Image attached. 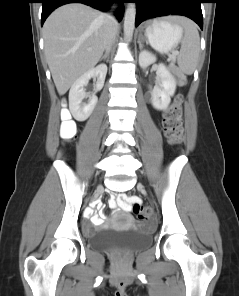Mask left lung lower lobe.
Returning a JSON list of instances; mask_svg holds the SVG:
<instances>
[{
    "instance_id": "obj_1",
    "label": "left lung lower lobe",
    "mask_w": 239,
    "mask_h": 296,
    "mask_svg": "<svg viewBox=\"0 0 239 296\" xmlns=\"http://www.w3.org/2000/svg\"><path fill=\"white\" fill-rule=\"evenodd\" d=\"M138 26L142 21L166 15H182L194 20L203 29V0H134Z\"/></svg>"
}]
</instances>
